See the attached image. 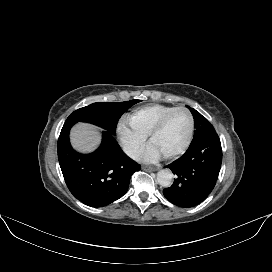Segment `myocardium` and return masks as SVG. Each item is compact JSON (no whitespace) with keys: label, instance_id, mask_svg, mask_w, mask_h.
Segmentation results:
<instances>
[{"label":"myocardium","instance_id":"obj_1","mask_svg":"<svg viewBox=\"0 0 272 272\" xmlns=\"http://www.w3.org/2000/svg\"><path fill=\"white\" fill-rule=\"evenodd\" d=\"M177 111H183L187 114L188 119H189V131H188V135L187 138L185 140V142L183 143V145L178 148L177 150H175L172 153L163 155L166 159H174L178 156H180L181 154H183L188 147L190 146L193 136H194V130H195V122H194V117L191 113V111L189 109H187L186 107L183 106H179V107H174L171 110L167 111L166 113H164L155 123V125L152 127L151 131L149 132L148 136H149V141L151 143L153 137L163 128V126L165 125L167 119L175 112Z\"/></svg>","mask_w":272,"mask_h":272}]
</instances>
